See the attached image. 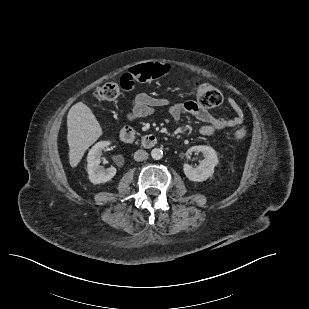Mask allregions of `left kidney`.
<instances>
[{"label":"left kidney","instance_id":"5707ae66","mask_svg":"<svg viewBox=\"0 0 309 309\" xmlns=\"http://www.w3.org/2000/svg\"><path fill=\"white\" fill-rule=\"evenodd\" d=\"M192 152H201L204 155V159L200 162V165L193 168L189 164L185 163L183 166L186 177L193 182H202L211 177L214 173V168L218 165L219 160L216 151L207 145L192 146L187 150L186 155Z\"/></svg>","mask_w":309,"mask_h":309}]
</instances>
